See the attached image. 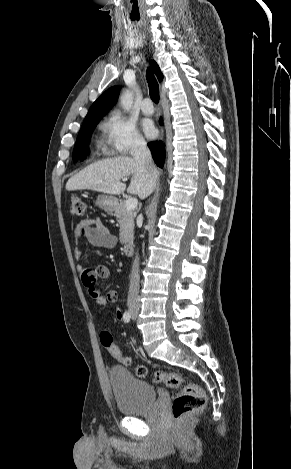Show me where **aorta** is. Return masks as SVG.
<instances>
[{"label": "aorta", "instance_id": "762f6f07", "mask_svg": "<svg viewBox=\"0 0 291 469\" xmlns=\"http://www.w3.org/2000/svg\"><path fill=\"white\" fill-rule=\"evenodd\" d=\"M120 104L125 112H129L133 104V93L130 90H125L120 97Z\"/></svg>", "mask_w": 291, "mask_h": 469}]
</instances>
